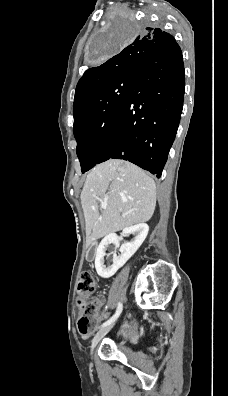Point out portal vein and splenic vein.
Returning <instances> with one entry per match:
<instances>
[{"instance_id":"18ae733b","label":"portal vein and splenic vein","mask_w":228,"mask_h":396,"mask_svg":"<svg viewBox=\"0 0 228 396\" xmlns=\"http://www.w3.org/2000/svg\"><path fill=\"white\" fill-rule=\"evenodd\" d=\"M107 208L106 204H101V209L105 210Z\"/></svg>"}]
</instances>
